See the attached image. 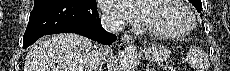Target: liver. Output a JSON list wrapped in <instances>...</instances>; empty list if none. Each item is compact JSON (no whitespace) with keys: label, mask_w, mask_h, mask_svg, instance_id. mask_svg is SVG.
I'll return each mask as SVG.
<instances>
[{"label":"liver","mask_w":230,"mask_h":71,"mask_svg":"<svg viewBox=\"0 0 230 71\" xmlns=\"http://www.w3.org/2000/svg\"><path fill=\"white\" fill-rule=\"evenodd\" d=\"M92 50V41L77 34L44 37L27 53L24 71H83Z\"/></svg>","instance_id":"1"}]
</instances>
